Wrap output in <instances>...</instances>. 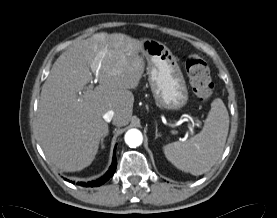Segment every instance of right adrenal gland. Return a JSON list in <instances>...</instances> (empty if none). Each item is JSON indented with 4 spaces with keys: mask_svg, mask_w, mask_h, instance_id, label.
Listing matches in <instances>:
<instances>
[{
    "mask_svg": "<svg viewBox=\"0 0 277 218\" xmlns=\"http://www.w3.org/2000/svg\"><path fill=\"white\" fill-rule=\"evenodd\" d=\"M107 136V134L103 137V139H102V141H101V143H102V148H104V145H103V142H104V138Z\"/></svg>",
    "mask_w": 277,
    "mask_h": 218,
    "instance_id": "1",
    "label": "right adrenal gland"
}]
</instances>
